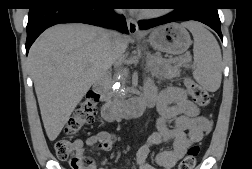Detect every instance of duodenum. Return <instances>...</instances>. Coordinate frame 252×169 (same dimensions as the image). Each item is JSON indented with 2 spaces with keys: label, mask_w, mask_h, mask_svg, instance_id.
<instances>
[{
  "label": "duodenum",
  "mask_w": 252,
  "mask_h": 169,
  "mask_svg": "<svg viewBox=\"0 0 252 169\" xmlns=\"http://www.w3.org/2000/svg\"><path fill=\"white\" fill-rule=\"evenodd\" d=\"M103 102L101 115L102 118L108 122H116L125 118H133L142 115L145 110L152 107L154 99L148 96H141L137 99L126 101L123 103H116L108 101V90L106 83L103 80H98L93 86Z\"/></svg>",
  "instance_id": "obj_1"
}]
</instances>
